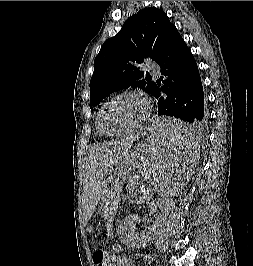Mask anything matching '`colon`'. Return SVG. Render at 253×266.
<instances>
[{"label":"colon","mask_w":253,"mask_h":266,"mask_svg":"<svg viewBox=\"0 0 253 266\" xmlns=\"http://www.w3.org/2000/svg\"><path fill=\"white\" fill-rule=\"evenodd\" d=\"M93 261L96 266H119V259L108 256L104 251H96L93 254Z\"/></svg>","instance_id":"colon-1"}]
</instances>
